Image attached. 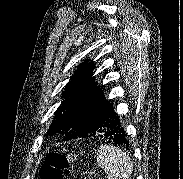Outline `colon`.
Wrapping results in <instances>:
<instances>
[{
	"label": "colon",
	"instance_id": "obj_1",
	"mask_svg": "<svg viewBox=\"0 0 183 179\" xmlns=\"http://www.w3.org/2000/svg\"><path fill=\"white\" fill-rule=\"evenodd\" d=\"M72 158L70 154L56 151L49 153L41 166L40 179H67V170Z\"/></svg>",
	"mask_w": 183,
	"mask_h": 179
}]
</instances>
